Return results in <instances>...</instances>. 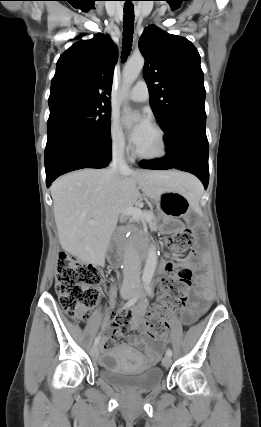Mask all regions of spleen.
Instances as JSON below:
<instances>
[{"mask_svg": "<svg viewBox=\"0 0 261 427\" xmlns=\"http://www.w3.org/2000/svg\"><path fill=\"white\" fill-rule=\"evenodd\" d=\"M203 194L202 187L198 181L191 182L188 196L193 204H197Z\"/></svg>", "mask_w": 261, "mask_h": 427, "instance_id": "obj_1", "label": "spleen"}]
</instances>
